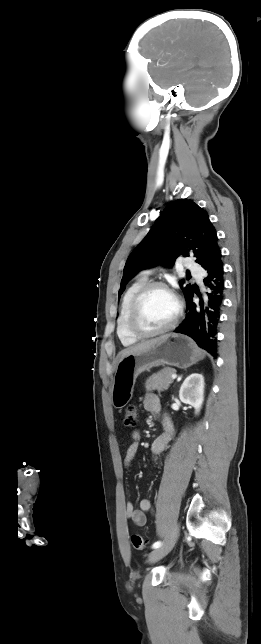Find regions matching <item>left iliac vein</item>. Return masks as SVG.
<instances>
[{
    "label": "left iliac vein",
    "instance_id": "left-iliac-vein-1",
    "mask_svg": "<svg viewBox=\"0 0 261 644\" xmlns=\"http://www.w3.org/2000/svg\"><path fill=\"white\" fill-rule=\"evenodd\" d=\"M179 525L177 523L173 524L165 543L159 548L154 549L148 556L149 563H155L166 556L174 547L176 540L178 538Z\"/></svg>",
    "mask_w": 261,
    "mask_h": 644
}]
</instances>
